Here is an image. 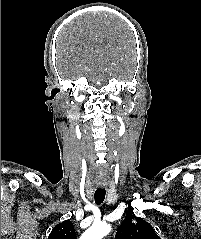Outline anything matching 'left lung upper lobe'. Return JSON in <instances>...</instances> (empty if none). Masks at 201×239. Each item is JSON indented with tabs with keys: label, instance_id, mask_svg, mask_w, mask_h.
<instances>
[{
	"label": "left lung upper lobe",
	"instance_id": "obj_1",
	"mask_svg": "<svg viewBox=\"0 0 201 239\" xmlns=\"http://www.w3.org/2000/svg\"><path fill=\"white\" fill-rule=\"evenodd\" d=\"M136 220V223L132 222ZM116 239H161L153 227L141 218L135 216L129 210L126 214L125 220L120 225Z\"/></svg>",
	"mask_w": 201,
	"mask_h": 239
}]
</instances>
